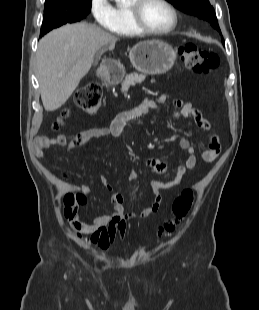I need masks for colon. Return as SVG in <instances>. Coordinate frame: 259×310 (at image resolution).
Instances as JSON below:
<instances>
[{
  "label": "colon",
  "mask_w": 259,
  "mask_h": 310,
  "mask_svg": "<svg viewBox=\"0 0 259 310\" xmlns=\"http://www.w3.org/2000/svg\"><path fill=\"white\" fill-rule=\"evenodd\" d=\"M179 54L183 66L196 73L206 74L215 71L219 66V60L215 53L193 43L181 45L179 47ZM101 100V88L95 83L84 85L75 93L76 107L89 116H95L99 112ZM193 200V190L190 188L183 190L172 204V217L158 228V234L173 232L178 223L188 214ZM85 201L86 198L83 194H67L64 197L63 214L65 219L73 221L78 207L83 205Z\"/></svg>",
  "instance_id": "5ec220e1"
}]
</instances>
